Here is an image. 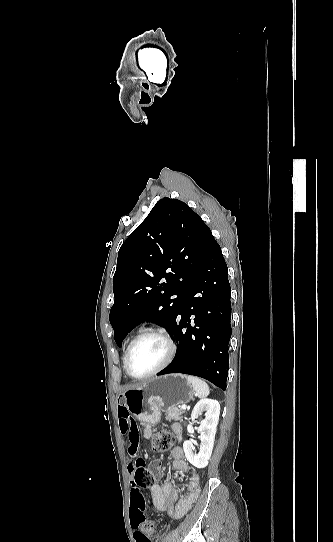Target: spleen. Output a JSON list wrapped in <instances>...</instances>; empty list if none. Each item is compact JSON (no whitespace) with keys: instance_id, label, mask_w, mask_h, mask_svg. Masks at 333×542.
<instances>
[{"instance_id":"spleen-1","label":"spleen","mask_w":333,"mask_h":542,"mask_svg":"<svg viewBox=\"0 0 333 542\" xmlns=\"http://www.w3.org/2000/svg\"><path fill=\"white\" fill-rule=\"evenodd\" d=\"M187 380L189 384H191L198 398H207V396H209L210 390L206 382H203V380H199V378H194V376H187Z\"/></svg>"}]
</instances>
